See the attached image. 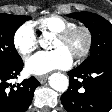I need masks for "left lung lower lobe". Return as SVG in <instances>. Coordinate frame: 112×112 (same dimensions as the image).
Returning <instances> with one entry per match:
<instances>
[{"instance_id":"obj_1","label":"left lung lower lobe","mask_w":112,"mask_h":112,"mask_svg":"<svg viewBox=\"0 0 112 112\" xmlns=\"http://www.w3.org/2000/svg\"><path fill=\"white\" fill-rule=\"evenodd\" d=\"M69 88L61 96L68 112H109L112 108V59L68 72Z\"/></svg>"}]
</instances>
